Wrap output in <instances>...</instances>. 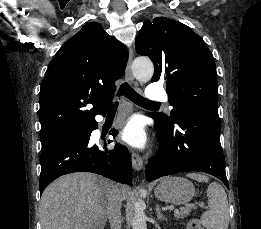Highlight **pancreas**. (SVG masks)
I'll list each match as a JSON object with an SVG mask.
<instances>
[{
    "label": "pancreas",
    "mask_w": 261,
    "mask_h": 229,
    "mask_svg": "<svg viewBox=\"0 0 261 229\" xmlns=\"http://www.w3.org/2000/svg\"><path fill=\"white\" fill-rule=\"evenodd\" d=\"M188 215H190V209L184 211L182 214L175 213L174 217H176V219H184V217H188Z\"/></svg>",
    "instance_id": "obj_1"
}]
</instances>
